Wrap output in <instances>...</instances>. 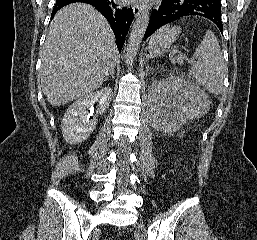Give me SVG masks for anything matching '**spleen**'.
<instances>
[{"mask_svg": "<svg viewBox=\"0 0 257 240\" xmlns=\"http://www.w3.org/2000/svg\"><path fill=\"white\" fill-rule=\"evenodd\" d=\"M180 30L179 26H165L157 31L151 40L169 47L176 40ZM194 58L197 62L189 74L210 93L221 94L224 90L227 66L220 52L219 42L212 31H206L203 41L194 52Z\"/></svg>", "mask_w": 257, "mask_h": 240, "instance_id": "obj_1", "label": "spleen"}]
</instances>
